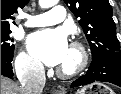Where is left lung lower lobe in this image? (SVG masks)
Listing matches in <instances>:
<instances>
[{"instance_id": "obj_1", "label": "left lung lower lobe", "mask_w": 121, "mask_h": 94, "mask_svg": "<svg viewBox=\"0 0 121 94\" xmlns=\"http://www.w3.org/2000/svg\"><path fill=\"white\" fill-rule=\"evenodd\" d=\"M96 81L110 82L121 87V56L94 58L87 73L75 80L71 87L87 85Z\"/></svg>"}]
</instances>
